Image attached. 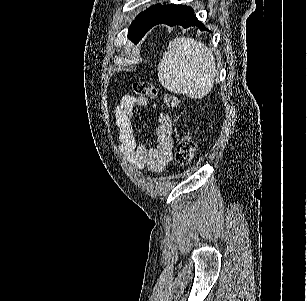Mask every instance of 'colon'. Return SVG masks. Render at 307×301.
I'll use <instances>...</instances> for the list:
<instances>
[{"mask_svg":"<svg viewBox=\"0 0 307 301\" xmlns=\"http://www.w3.org/2000/svg\"><path fill=\"white\" fill-rule=\"evenodd\" d=\"M133 89L141 97L155 99L158 96L157 88L148 81H137L133 84ZM163 103L174 109L180 107V102L173 96L162 98ZM196 150L194 139L189 135H184L177 141L174 160L177 166L183 167L191 163Z\"/></svg>","mask_w":307,"mask_h":301,"instance_id":"1","label":"colon"}]
</instances>
